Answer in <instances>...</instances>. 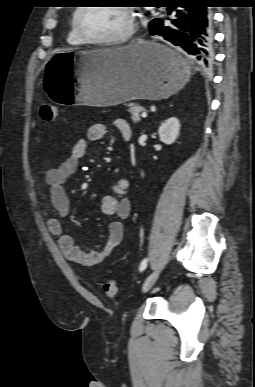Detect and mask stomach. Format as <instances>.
I'll use <instances>...</instances> for the list:
<instances>
[{
    "mask_svg": "<svg viewBox=\"0 0 255 387\" xmlns=\"http://www.w3.org/2000/svg\"><path fill=\"white\" fill-rule=\"evenodd\" d=\"M190 73L173 51L140 41L115 49L59 51L45 65L43 84L53 104L89 108L169 97L186 85Z\"/></svg>",
    "mask_w": 255,
    "mask_h": 387,
    "instance_id": "1",
    "label": "stomach"
}]
</instances>
